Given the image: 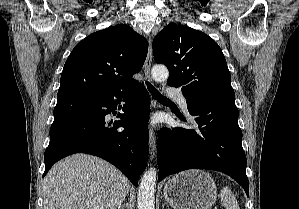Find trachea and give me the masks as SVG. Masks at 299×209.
Instances as JSON below:
<instances>
[{
    "label": "trachea",
    "instance_id": "obj_1",
    "mask_svg": "<svg viewBox=\"0 0 299 209\" xmlns=\"http://www.w3.org/2000/svg\"><path fill=\"white\" fill-rule=\"evenodd\" d=\"M147 88L156 100H158V101H170L168 98L161 95L160 92H158L155 89V87L152 84H150L149 82H147Z\"/></svg>",
    "mask_w": 299,
    "mask_h": 209
}]
</instances>
